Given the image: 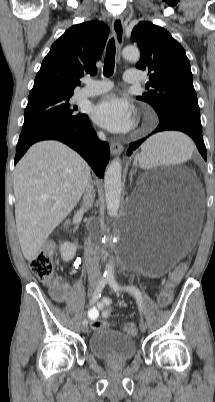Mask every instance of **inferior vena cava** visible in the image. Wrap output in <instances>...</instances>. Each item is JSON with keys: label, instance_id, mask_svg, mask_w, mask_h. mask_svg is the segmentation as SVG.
I'll return each mask as SVG.
<instances>
[{"label": "inferior vena cava", "instance_id": "602c4592", "mask_svg": "<svg viewBox=\"0 0 215 402\" xmlns=\"http://www.w3.org/2000/svg\"><path fill=\"white\" fill-rule=\"evenodd\" d=\"M99 138L104 140L105 135L103 133H99ZM94 202V189L89 180L87 184L86 191L83 197V205L82 210L86 211L92 207ZM85 263L88 273V279L92 283H97L101 278L100 266H99V258L96 251L93 248L91 241L85 242Z\"/></svg>", "mask_w": 215, "mask_h": 402}]
</instances>
